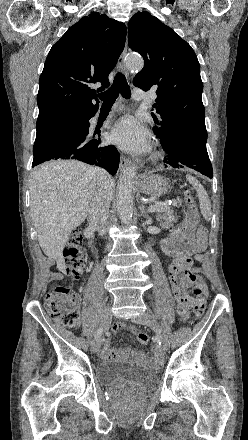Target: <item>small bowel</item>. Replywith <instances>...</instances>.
<instances>
[{
	"label": "small bowel",
	"mask_w": 248,
	"mask_h": 440,
	"mask_svg": "<svg viewBox=\"0 0 248 440\" xmlns=\"http://www.w3.org/2000/svg\"><path fill=\"white\" fill-rule=\"evenodd\" d=\"M206 230L197 226L195 223L186 219L178 230L174 231L171 236L162 242V249L165 254L172 256L173 260L168 265V279L176 299L177 316L182 322L189 319V308L192 300L189 295V288L192 285V276L200 272V268L193 267L192 255L195 260L202 261L203 256L199 254L205 247ZM197 243H201L203 248L198 250L195 248ZM128 330L136 333L135 326H126L119 322L115 325L114 331ZM102 356L105 359H118L125 356H131L144 363L158 367L160 359L158 356L147 357L140 352H130L126 350L115 349L109 341H107L102 350Z\"/></svg>",
	"instance_id": "small-bowel-1"
}]
</instances>
